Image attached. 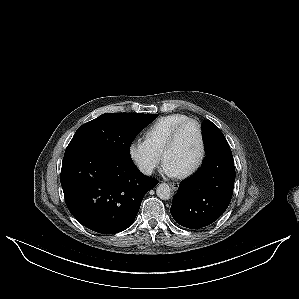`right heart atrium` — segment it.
<instances>
[{"label":"right heart atrium","instance_id":"obj_1","mask_svg":"<svg viewBox=\"0 0 299 299\" xmlns=\"http://www.w3.org/2000/svg\"><path fill=\"white\" fill-rule=\"evenodd\" d=\"M146 143H140L132 148V155L139 166L145 170H151L157 164V156Z\"/></svg>","mask_w":299,"mask_h":299}]
</instances>
